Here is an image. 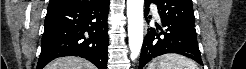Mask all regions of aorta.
Instances as JSON below:
<instances>
[{
  "instance_id": "1",
  "label": "aorta",
  "mask_w": 246,
  "mask_h": 69,
  "mask_svg": "<svg viewBox=\"0 0 246 69\" xmlns=\"http://www.w3.org/2000/svg\"><path fill=\"white\" fill-rule=\"evenodd\" d=\"M143 4L144 0H127L129 49L132 60L139 56L143 43Z\"/></svg>"
}]
</instances>
